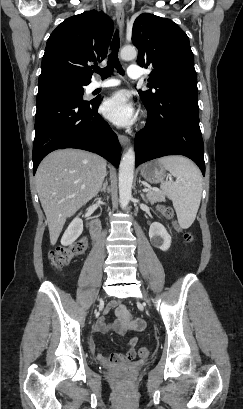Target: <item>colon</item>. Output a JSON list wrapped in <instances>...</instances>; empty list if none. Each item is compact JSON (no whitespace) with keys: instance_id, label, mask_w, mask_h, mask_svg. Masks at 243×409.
<instances>
[{"instance_id":"obj_1","label":"colon","mask_w":243,"mask_h":409,"mask_svg":"<svg viewBox=\"0 0 243 409\" xmlns=\"http://www.w3.org/2000/svg\"><path fill=\"white\" fill-rule=\"evenodd\" d=\"M161 214L171 219L173 217V209L169 206L160 207ZM183 238L186 242L192 241V234L190 232H184ZM87 239L81 238L68 247H59L53 250L50 254L51 265L56 269H61L68 265L72 258L82 254L87 247ZM139 355L142 358H149L151 350L148 347H141L138 350Z\"/></svg>"}]
</instances>
